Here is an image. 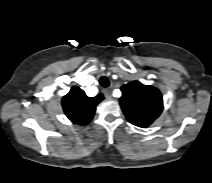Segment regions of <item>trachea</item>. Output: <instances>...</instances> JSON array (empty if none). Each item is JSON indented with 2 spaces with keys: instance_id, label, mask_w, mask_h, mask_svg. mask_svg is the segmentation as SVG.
Masks as SVG:
<instances>
[{
  "instance_id": "1",
  "label": "trachea",
  "mask_w": 212,
  "mask_h": 183,
  "mask_svg": "<svg viewBox=\"0 0 212 183\" xmlns=\"http://www.w3.org/2000/svg\"><path fill=\"white\" fill-rule=\"evenodd\" d=\"M99 83L102 87L106 88L109 86V80L106 76H102L100 79H99Z\"/></svg>"
}]
</instances>
